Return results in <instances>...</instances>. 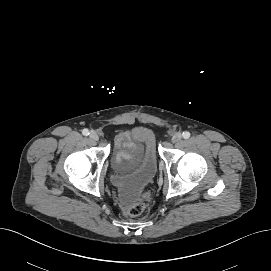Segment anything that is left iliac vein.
Returning a JSON list of instances; mask_svg holds the SVG:
<instances>
[{"mask_svg":"<svg viewBox=\"0 0 271 271\" xmlns=\"http://www.w3.org/2000/svg\"><path fill=\"white\" fill-rule=\"evenodd\" d=\"M181 139H182V134L180 132L175 133L171 138L173 143H178L181 141Z\"/></svg>","mask_w":271,"mask_h":271,"instance_id":"obj_1","label":"left iliac vein"}]
</instances>
